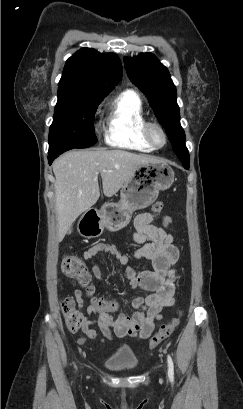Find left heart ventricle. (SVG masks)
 I'll return each instance as SVG.
<instances>
[{"label": "left heart ventricle", "instance_id": "obj_1", "mask_svg": "<svg viewBox=\"0 0 243 409\" xmlns=\"http://www.w3.org/2000/svg\"><path fill=\"white\" fill-rule=\"evenodd\" d=\"M155 139L158 143H163V136L159 131H155Z\"/></svg>", "mask_w": 243, "mask_h": 409}]
</instances>
